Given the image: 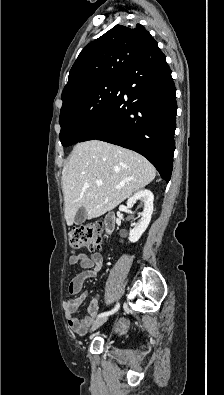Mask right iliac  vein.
I'll return each instance as SVG.
<instances>
[{
    "label": "right iliac vein",
    "mask_w": 224,
    "mask_h": 395,
    "mask_svg": "<svg viewBox=\"0 0 224 395\" xmlns=\"http://www.w3.org/2000/svg\"><path fill=\"white\" fill-rule=\"evenodd\" d=\"M107 319H108V318H107L106 316L96 319V320L93 322V324H92L91 332H92V331H95V330L98 329L100 326H102V325L107 321Z\"/></svg>",
    "instance_id": "63e3f726"
}]
</instances>
